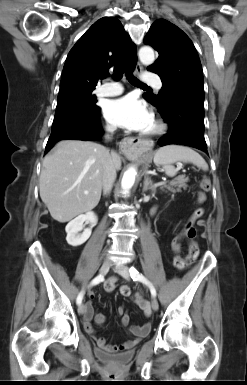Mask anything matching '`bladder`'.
<instances>
[{"mask_svg": "<svg viewBox=\"0 0 247 385\" xmlns=\"http://www.w3.org/2000/svg\"><path fill=\"white\" fill-rule=\"evenodd\" d=\"M98 353L101 354V353H104V352L99 350ZM132 355H133L132 352H127L125 354L118 355V357H119L118 360L123 362V361L129 359Z\"/></svg>", "mask_w": 247, "mask_h": 385, "instance_id": "1", "label": "bladder"}]
</instances>
